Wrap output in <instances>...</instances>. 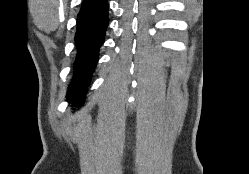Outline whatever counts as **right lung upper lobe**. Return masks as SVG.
I'll use <instances>...</instances> for the list:
<instances>
[{
  "label": "right lung upper lobe",
  "mask_w": 249,
  "mask_h": 174,
  "mask_svg": "<svg viewBox=\"0 0 249 174\" xmlns=\"http://www.w3.org/2000/svg\"><path fill=\"white\" fill-rule=\"evenodd\" d=\"M89 1H91V0H83V3H85V2H89Z\"/></svg>",
  "instance_id": "1"
}]
</instances>
